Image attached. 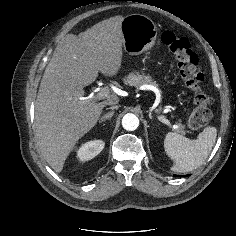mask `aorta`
<instances>
[{"label": "aorta", "instance_id": "762f6f07", "mask_svg": "<svg viewBox=\"0 0 236 236\" xmlns=\"http://www.w3.org/2000/svg\"><path fill=\"white\" fill-rule=\"evenodd\" d=\"M122 126L127 131H134L139 126V119L132 113H127L122 119Z\"/></svg>", "mask_w": 236, "mask_h": 236}]
</instances>
